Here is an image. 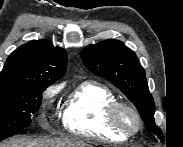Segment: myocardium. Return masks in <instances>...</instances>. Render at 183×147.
<instances>
[{"label": "myocardium", "mask_w": 183, "mask_h": 147, "mask_svg": "<svg viewBox=\"0 0 183 147\" xmlns=\"http://www.w3.org/2000/svg\"><path fill=\"white\" fill-rule=\"evenodd\" d=\"M124 110L130 112L134 116L135 125L133 127L125 126L121 122L120 115L121 112ZM106 120L108 125L113 130L125 134L127 136H132L138 133L142 128V119L138 110L131 104L122 101H116L108 107L106 113Z\"/></svg>", "instance_id": "f54148a6"}]
</instances>
